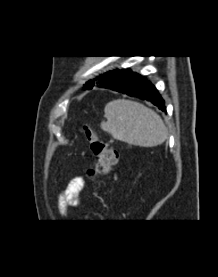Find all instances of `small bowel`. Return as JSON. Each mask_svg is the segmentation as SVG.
<instances>
[{"label":"small bowel","instance_id":"obj_1","mask_svg":"<svg viewBox=\"0 0 218 277\" xmlns=\"http://www.w3.org/2000/svg\"><path fill=\"white\" fill-rule=\"evenodd\" d=\"M85 181L83 177H75L67 184L58 198L59 209L64 213L69 207H75L80 202V193L83 190Z\"/></svg>","mask_w":218,"mask_h":277}]
</instances>
